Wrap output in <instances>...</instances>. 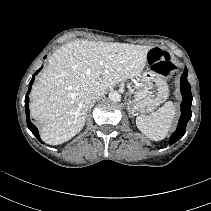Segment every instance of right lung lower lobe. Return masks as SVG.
<instances>
[{
	"mask_svg": "<svg viewBox=\"0 0 211 211\" xmlns=\"http://www.w3.org/2000/svg\"><path fill=\"white\" fill-rule=\"evenodd\" d=\"M41 68L38 71H36V73L33 75L32 79H31V81L29 83V89H28L27 95L25 97V110H26L27 125H28V128L30 129V131L37 137L38 140H40L38 129L36 128V126L29 119V97H28V94H29V92L31 90V86H32V84L34 82L35 75L41 70Z\"/></svg>",
	"mask_w": 211,
	"mask_h": 211,
	"instance_id": "obj_1",
	"label": "right lung lower lobe"
}]
</instances>
